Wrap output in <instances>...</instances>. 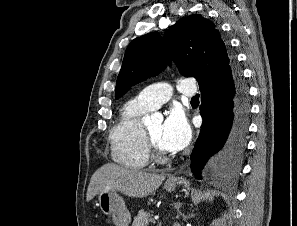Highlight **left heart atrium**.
<instances>
[{"mask_svg":"<svg viewBox=\"0 0 297 226\" xmlns=\"http://www.w3.org/2000/svg\"><path fill=\"white\" fill-rule=\"evenodd\" d=\"M190 129L184 116L172 111L165 120L160 137V146L166 152H178L189 142Z\"/></svg>","mask_w":297,"mask_h":226,"instance_id":"left-heart-atrium-1","label":"left heart atrium"}]
</instances>
